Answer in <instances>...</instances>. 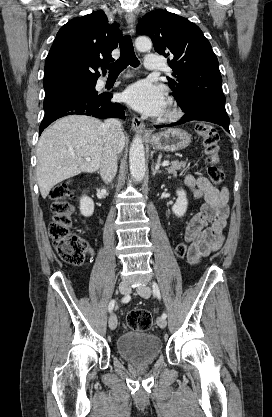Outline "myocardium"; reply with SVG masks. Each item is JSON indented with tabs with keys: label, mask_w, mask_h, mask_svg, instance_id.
<instances>
[{
	"label": "myocardium",
	"mask_w": 272,
	"mask_h": 417,
	"mask_svg": "<svg viewBox=\"0 0 272 417\" xmlns=\"http://www.w3.org/2000/svg\"><path fill=\"white\" fill-rule=\"evenodd\" d=\"M181 115H182V112L180 108L173 101H170L168 109L163 115V119L166 121H174V120L179 119Z\"/></svg>",
	"instance_id": "obj_1"
}]
</instances>
